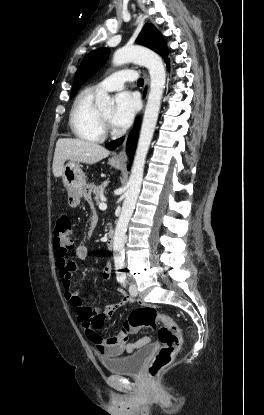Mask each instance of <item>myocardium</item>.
I'll use <instances>...</instances> for the list:
<instances>
[{
    "label": "myocardium",
    "mask_w": 264,
    "mask_h": 415,
    "mask_svg": "<svg viewBox=\"0 0 264 415\" xmlns=\"http://www.w3.org/2000/svg\"><path fill=\"white\" fill-rule=\"evenodd\" d=\"M100 130L104 136H116L117 133L113 129L111 123L103 116L100 110H97Z\"/></svg>",
    "instance_id": "1"
}]
</instances>
